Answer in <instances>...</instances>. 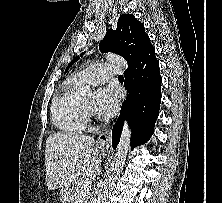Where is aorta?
Returning a JSON list of instances; mask_svg holds the SVG:
<instances>
[{
	"label": "aorta",
	"instance_id": "obj_1",
	"mask_svg": "<svg viewBox=\"0 0 222 203\" xmlns=\"http://www.w3.org/2000/svg\"><path fill=\"white\" fill-rule=\"evenodd\" d=\"M107 61L120 65L125 69L128 68V64L124 58L113 53H107L105 55ZM83 94L91 95L92 91L89 86L83 88ZM131 138V129L127 120H125L123 125V130L121 133L120 141L116 149L115 158L107 172V176L100 188L97 203H107L108 197L113 189V186L118 178V175L123 168L126 161L129 145Z\"/></svg>",
	"mask_w": 222,
	"mask_h": 203
}]
</instances>
